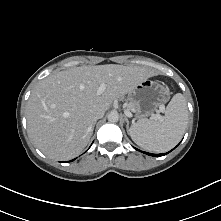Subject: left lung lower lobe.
<instances>
[{
  "label": "left lung lower lobe",
  "instance_id": "1",
  "mask_svg": "<svg viewBox=\"0 0 221 221\" xmlns=\"http://www.w3.org/2000/svg\"><path fill=\"white\" fill-rule=\"evenodd\" d=\"M136 150H138V149H136ZM145 154L150 155V156H157V157L164 156L163 153L162 154H152V153L145 152Z\"/></svg>",
  "mask_w": 221,
  "mask_h": 221
}]
</instances>
